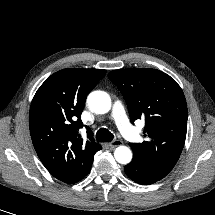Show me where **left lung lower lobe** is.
<instances>
[{
    "mask_svg": "<svg viewBox=\"0 0 215 215\" xmlns=\"http://www.w3.org/2000/svg\"><path fill=\"white\" fill-rule=\"evenodd\" d=\"M124 169L131 180L142 185L153 184L168 174V172L144 164L134 156L133 160Z\"/></svg>",
    "mask_w": 215,
    "mask_h": 215,
    "instance_id": "left-lung-lower-lobe-1",
    "label": "left lung lower lobe"
}]
</instances>
